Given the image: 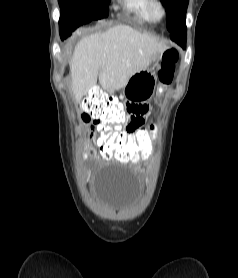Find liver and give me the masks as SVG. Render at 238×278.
I'll return each mask as SVG.
<instances>
[{"label": "liver", "instance_id": "1", "mask_svg": "<svg viewBox=\"0 0 238 278\" xmlns=\"http://www.w3.org/2000/svg\"><path fill=\"white\" fill-rule=\"evenodd\" d=\"M165 49L157 37L125 24L83 37L70 63L75 100L93 89L98 77L101 87L108 93L122 89L133 74L146 69L154 55L162 54Z\"/></svg>", "mask_w": 238, "mask_h": 278}]
</instances>
